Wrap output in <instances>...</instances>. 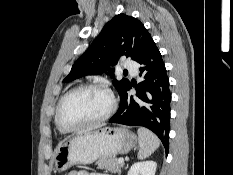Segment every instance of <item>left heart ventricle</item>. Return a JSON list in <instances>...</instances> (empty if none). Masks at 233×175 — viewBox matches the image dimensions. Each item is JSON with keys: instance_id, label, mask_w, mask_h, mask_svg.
I'll return each instance as SVG.
<instances>
[{"instance_id": "1", "label": "left heart ventricle", "mask_w": 233, "mask_h": 175, "mask_svg": "<svg viewBox=\"0 0 233 175\" xmlns=\"http://www.w3.org/2000/svg\"><path fill=\"white\" fill-rule=\"evenodd\" d=\"M108 95L97 89H87L71 95L61 109V121L66 126H77L101 117L109 108Z\"/></svg>"}]
</instances>
